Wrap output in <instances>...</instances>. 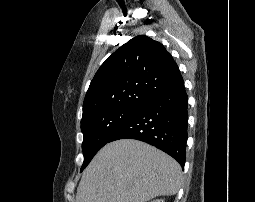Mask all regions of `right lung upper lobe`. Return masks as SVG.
I'll return each mask as SVG.
<instances>
[{
	"label": "right lung upper lobe",
	"instance_id": "obj_1",
	"mask_svg": "<svg viewBox=\"0 0 255 202\" xmlns=\"http://www.w3.org/2000/svg\"><path fill=\"white\" fill-rule=\"evenodd\" d=\"M184 85L164 46L145 35L122 45L98 69L83 103V117L120 106H142Z\"/></svg>",
	"mask_w": 255,
	"mask_h": 202
}]
</instances>
